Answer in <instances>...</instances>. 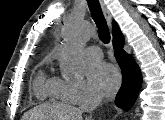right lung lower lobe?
<instances>
[{
  "instance_id": "right-lung-lower-lobe-1",
  "label": "right lung lower lobe",
  "mask_w": 165,
  "mask_h": 120,
  "mask_svg": "<svg viewBox=\"0 0 165 120\" xmlns=\"http://www.w3.org/2000/svg\"><path fill=\"white\" fill-rule=\"evenodd\" d=\"M124 38L113 41L114 55L122 71V85L115 104L128 111L135 103L142 84V75L133 57L123 50Z\"/></svg>"
}]
</instances>
